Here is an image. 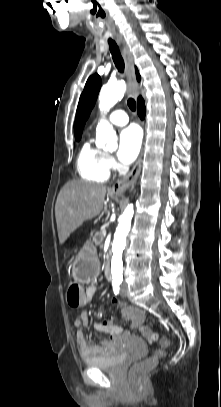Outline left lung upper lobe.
I'll list each match as a JSON object with an SVG mask.
<instances>
[{"label": "left lung upper lobe", "mask_w": 221, "mask_h": 407, "mask_svg": "<svg viewBox=\"0 0 221 407\" xmlns=\"http://www.w3.org/2000/svg\"><path fill=\"white\" fill-rule=\"evenodd\" d=\"M100 88H101L100 76L98 74L90 76L80 96L79 104L76 111V120H75L76 140H80L81 138L85 122L88 119L94 107Z\"/></svg>", "instance_id": "1"}]
</instances>
